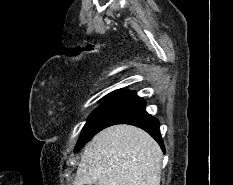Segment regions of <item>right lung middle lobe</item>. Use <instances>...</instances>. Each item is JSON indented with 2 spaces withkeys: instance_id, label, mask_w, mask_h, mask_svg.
Returning <instances> with one entry per match:
<instances>
[{
  "instance_id": "1",
  "label": "right lung middle lobe",
  "mask_w": 233,
  "mask_h": 185,
  "mask_svg": "<svg viewBox=\"0 0 233 185\" xmlns=\"http://www.w3.org/2000/svg\"><path fill=\"white\" fill-rule=\"evenodd\" d=\"M117 92L118 91H114L110 93V100L105 102L89 116L85 128L83 129L75 147V152L79 151L85 143L91 140L92 137L99 132L98 129L103 119L130 93L129 91H123L117 95ZM107 98V96L104 97V99Z\"/></svg>"
}]
</instances>
